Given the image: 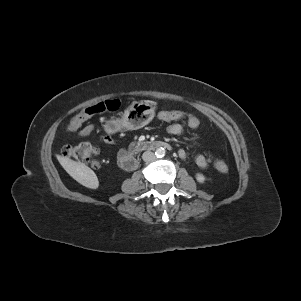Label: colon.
<instances>
[{
    "instance_id": "obj_1",
    "label": "colon",
    "mask_w": 301,
    "mask_h": 301,
    "mask_svg": "<svg viewBox=\"0 0 301 301\" xmlns=\"http://www.w3.org/2000/svg\"><path fill=\"white\" fill-rule=\"evenodd\" d=\"M120 105L121 103L119 100H105L94 104L73 116L69 122L68 128L70 130H76L88 117L101 112L115 111L119 109ZM155 110L159 114L162 112L166 113V117L170 119H186L191 128H197L200 124L199 117L195 113H186L181 110L171 111L166 105L162 106L160 104L156 106ZM62 155L66 158L89 164L94 168L100 166V151L97 147L89 143L82 142L67 145L62 149ZM215 168L220 173L228 172V166L222 161L215 162Z\"/></svg>"
}]
</instances>
